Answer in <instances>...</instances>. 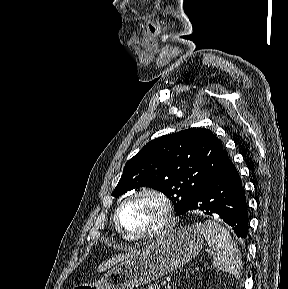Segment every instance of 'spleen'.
Wrapping results in <instances>:
<instances>
[{
  "label": "spleen",
  "mask_w": 288,
  "mask_h": 289,
  "mask_svg": "<svg viewBox=\"0 0 288 289\" xmlns=\"http://www.w3.org/2000/svg\"><path fill=\"white\" fill-rule=\"evenodd\" d=\"M195 228L203 234L208 246L214 251L213 266L235 278H240L242 276L241 254L226 228L210 220L195 224Z\"/></svg>",
  "instance_id": "obj_1"
}]
</instances>
